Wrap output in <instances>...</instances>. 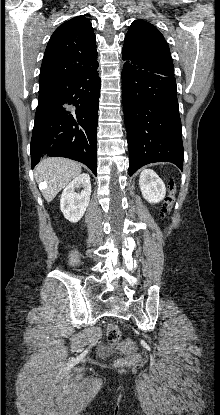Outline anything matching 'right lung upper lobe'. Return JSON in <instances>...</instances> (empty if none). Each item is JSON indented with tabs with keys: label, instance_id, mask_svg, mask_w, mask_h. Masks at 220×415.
I'll list each match as a JSON object with an SVG mask.
<instances>
[{
	"label": "right lung upper lobe",
	"instance_id": "cb5924a9",
	"mask_svg": "<svg viewBox=\"0 0 220 415\" xmlns=\"http://www.w3.org/2000/svg\"><path fill=\"white\" fill-rule=\"evenodd\" d=\"M96 36L83 16L60 25L52 34L43 57L39 89L98 65Z\"/></svg>",
	"mask_w": 220,
	"mask_h": 415
}]
</instances>
